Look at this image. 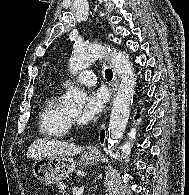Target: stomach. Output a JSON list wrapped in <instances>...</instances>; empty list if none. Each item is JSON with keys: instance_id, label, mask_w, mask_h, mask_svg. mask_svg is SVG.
<instances>
[{"instance_id": "1", "label": "stomach", "mask_w": 189, "mask_h": 195, "mask_svg": "<svg viewBox=\"0 0 189 195\" xmlns=\"http://www.w3.org/2000/svg\"><path fill=\"white\" fill-rule=\"evenodd\" d=\"M98 158V151L89 148L82 152L79 161L69 156L51 155L36 159L32 171L41 183L50 185L68 177L77 165H93Z\"/></svg>"}]
</instances>
